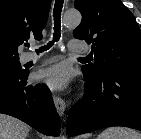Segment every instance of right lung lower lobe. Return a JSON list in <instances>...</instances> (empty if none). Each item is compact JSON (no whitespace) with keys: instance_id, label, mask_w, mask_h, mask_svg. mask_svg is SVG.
Returning <instances> with one entry per match:
<instances>
[{"instance_id":"1","label":"right lung lower lobe","mask_w":141,"mask_h":139,"mask_svg":"<svg viewBox=\"0 0 141 139\" xmlns=\"http://www.w3.org/2000/svg\"><path fill=\"white\" fill-rule=\"evenodd\" d=\"M29 71L0 75V113L16 117L37 131L58 136L60 120L49 89L27 84Z\"/></svg>"}]
</instances>
